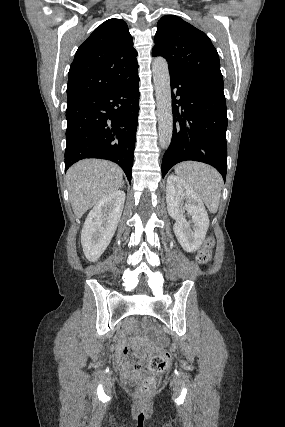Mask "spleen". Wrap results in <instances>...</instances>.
I'll return each instance as SVG.
<instances>
[{"label":"spleen","mask_w":285,"mask_h":427,"mask_svg":"<svg viewBox=\"0 0 285 427\" xmlns=\"http://www.w3.org/2000/svg\"><path fill=\"white\" fill-rule=\"evenodd\" d=\"M174 170L196 191L208 210L216 213L223 186V179L219 172L199 162H183L176 165Z\"/></svg>","instance_id":"3e777b00"}]
</instances>
